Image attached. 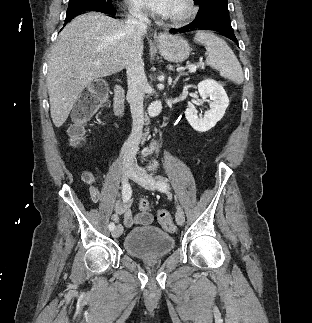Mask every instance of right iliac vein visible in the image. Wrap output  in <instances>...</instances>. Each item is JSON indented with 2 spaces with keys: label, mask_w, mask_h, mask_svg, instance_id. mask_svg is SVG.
Listing matches in <instances>:
<instances>
[{
  "label": "right iliac vein",
  "mask_w": 312,
  "mask_h": 323,
  "mask_svg": "<svg viewBox=\"0 0 312 323\" xmlns=\"http://www.w3.org/2000/svg\"><path fill=\"white\" fill-rule=\"evenodd\" d=\"M122 173H123V180H124V183L127 184L128 180L132 177L133 175V168L129 165H123V168H122ZM122 231H123V227L121 224H118L114 230H113V233H112V236L114 238H118L121 236L122 234Z\"/></svg>",
  "instance_id": "right-iliac-vein-1"
}]
</instances>
